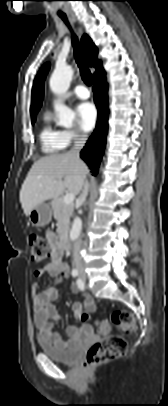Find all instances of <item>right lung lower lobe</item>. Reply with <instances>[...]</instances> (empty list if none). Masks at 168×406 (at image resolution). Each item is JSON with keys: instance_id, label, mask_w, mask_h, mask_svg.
<instances>
[{"instance_id": "obj_1", "label": "right lung lower lobe", "mask_w": 168, "mask_h": 406, "mask_svg": "<svg viewBox=\"0 0 168 406\" xmlns=\"http://www.w3.org/2000/svg\"><path fill=\"white\" fill-rule=\"evenodd\" d=\"M108 85L105 74L94 79V101L98 109L96 128L81 151V158L91 167L93 175L98 172V167L106 144L108 130Z\"/></svg>"}]
</instances>
